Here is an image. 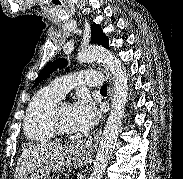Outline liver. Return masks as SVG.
<instances>
[{
    "label": "liver",
    "instance_id": "liver-1",
    "mask_svg": "<svg viewBox=\"0 0 183 179\" xmlns=\"http://www.w3.org/2000/svg\"><path fill=\"white\" fill-rule=\"evenodd\" d=\"M63 147L59 143H43L24 149L18 159L14 179H26L29 174L50 160Z\"/></svg>",
    "mask_w": 183,
    "mask_h": 179
}]
</instances>
